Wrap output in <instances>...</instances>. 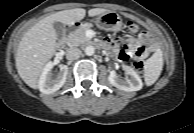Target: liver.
<instances>
[{
	"instance_id": "6515ba94",
	"label": "liver",
	"mask_w": 194,
	"mask_h": 133,
	"mask_svg": "<svg viewBox=\"0 0 194 133\" xmlns=\"http://www.w3.org/2000/svg\"><path fill=\"white\" fill-rule=\"evenodd\" d=\"M109 10L93 8L88 11L90 17L99 16ZM86 15V10L75 8L50 14L31 27L19 42L16 53V68L22 80L31 88H38V79L47 62L55 53L58 39L53 24L60 22L73 26Z\"/></svg>"
}]
</instances>
